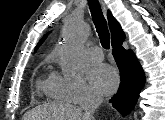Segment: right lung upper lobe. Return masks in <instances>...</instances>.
I'll return each mask as SVG.
<instances>
[{"label": "right lung upper lobe", "instance_id": "right-lung-upper-lobe-1", "mask_svg": "<svg viewBox=\"0 0 165 120\" xmlns=\"http://www.w3.org/2000/svg\"><path fill=\"white\" fill-rule=\"evenodd\" d=\"M108 22H109V27L111 31V36H112V43L119 41L121 39H125V34L118 23V21L112 16L111 12L108 11ZM47 35H45L40 42L38 43L36 49L38 48L39 45L45 40Z\"/></svg>", "mask_w": 165, "mask_h": 120}]
</instances>
